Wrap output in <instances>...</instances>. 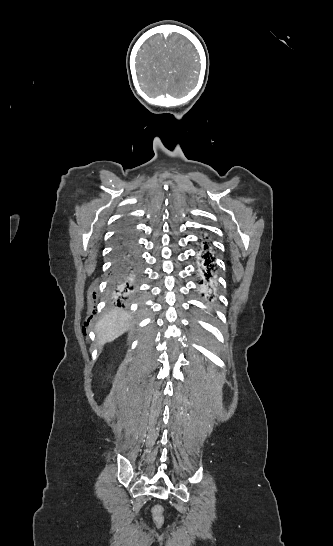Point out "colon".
<instances>
[{
    "label": "colon",
    "mask_w": 333,
    "mask_h": 546,
    "mask_svg": "<svg viewBox=\"0 0 333 546\" xmlns=\"http://www.w3.org/2000/svg\"><path fill=\"white\" fill-rule=\"evenodd\" d=\"M153 522L157 527H161L164 524L163 508L160 505H154L152 507Z\"/></svg>",
    "instance_id": "5ec220e1"
}]
</instances>
